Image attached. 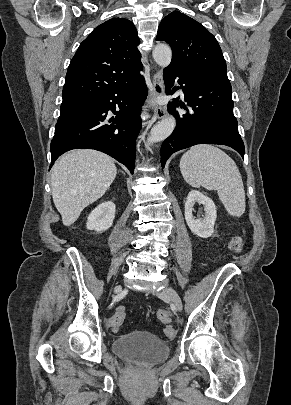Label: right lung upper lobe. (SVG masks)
I'll return each instance as SVG.
<instances>
[{"mask_svg": "<svg viewBox=\"0 0 291 405\" xmlns=\"http://www.w3.org/2000/svg\"><path fill=\"white\" fill-rule=\"evenodd\" d=\"M139 37L134 24L112 18L80 44L67 70L62 104L91 101L142 70Z\"/></svg>", "mask_w": 291, "mask_h": 405, "instance_id": "cb5924a9", "label": "right lung upper lobe"}]
</instances>
